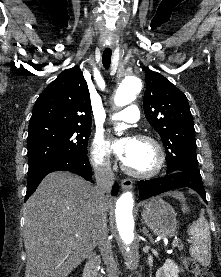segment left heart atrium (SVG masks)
I'll use <instances>...</instances> for the list:
<instances>
[{
	"label": "left heart atrium",
	"instance_id": "obj_1",
	"mask_svg": "<svg viewBox=\"0 0 221 277\" xmlns=\"http://www.w3.org/2000/svg\"><path fill=\"white\" fill-rule=\"evenodd\" d=\"M132 141V139H122L114 142L113 151L121 160H124L128 155Z\"/></svg>",
	"mask_w": 221,
	"mask_h": 277
}]
</instances>
